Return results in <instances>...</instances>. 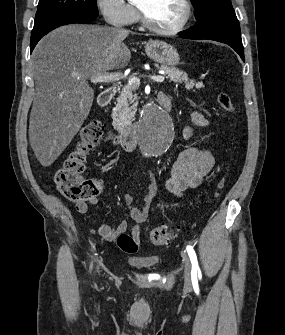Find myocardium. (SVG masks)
Wrapping results in <instances>:
<instances>
[{
	"label": "myocardium",
	"mask_w": 285,
	"mask_h": 335,
	"mask_svg": "<svg viewBox=\"0 0 285 335\" xmlns=\"http://www.w3.org/2000/svg\"><path fill=\"white\" fill-rule=\"evenodd\" d=\"M178 2L183 6L185 10V16L183 20L181 21V23L178 24L176 27L165 29V28L156 27L155 25L152 24V22L150 21L148 17L144 2L138 1L137 6L139 10V15H140V22L143 28L149 31L150 33L157 34V35H175V34L182 32L187 27L188 23L191 20L192 8H191V4L189 3V1H178Z\"/></svg>",
	"instance_id": "obj_1"
}]
</instances>
